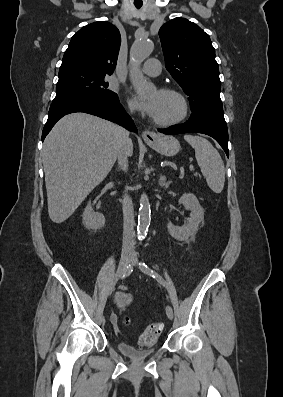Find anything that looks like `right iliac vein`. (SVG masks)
I'll list each match as a JSON object with an SVG mask.
<instances>
[{
    "label": "right iliac vein",
    "instance_id": "right-iliac-vein-1",
    "mask_svg": "<svg viewBox=\"0 0 283 397\" xmlns=\"http://www.w3.org/2000/svg\"><path fill=\"white\" fill-rule=\"evenodd\" d=\"M129 259H130V255L128 253H123L121 255L120 262H119L115 277H114V279L112 281H110L109 286H108V293L109 294H111L117 279L120 278L122 276V274L124 273Z\"/></svg>",
    "mask_w": 283,
    "mask_h": 397
}]
</instances>
